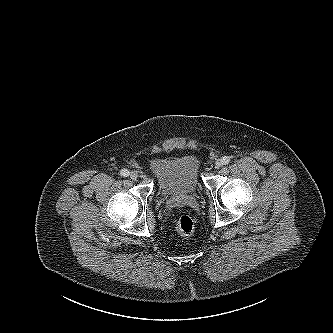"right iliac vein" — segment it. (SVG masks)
<instances>
[{
  "label": "right iliac vein",
  "mask_w": 333,
  "mask_h": 333,
  "mask_svg": "<svg viewBox=\"0 0 333 333\" xmlns=\"http://www.w3.org/2000/svg\"><path fill=\"white\" fill-rule=\"evenodd\" d=\"M129 175L132 180H136L138 178V174L135 171L130 172Z\"/></svg>",
  "instance_id": "right-iliac-vein-1"
}]
</instances>
